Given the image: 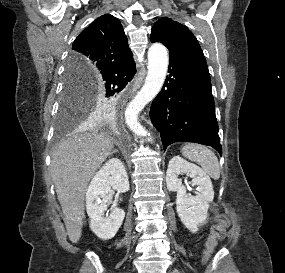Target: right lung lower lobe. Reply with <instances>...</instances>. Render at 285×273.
<instances>
[{"label": "right lung lower lobe", "mask_w": 285, "mask_h": 273, "mask_svg": "<svg viewBox=\"0 0 285 273\" xmlns=\"http://www.w3.org/2000/svg\"><path fill=\"white\" fill-rule=\"evenodd\" d=\"M136 73L133 58L123 64L114 65L101 70L98 74L87 78L88 83L95 89L102 91L107 96H113L122 91ZM114 104L103 107L105 115L114 110Z\"/></svg>", "instance_id": "1"}]
</instances>
